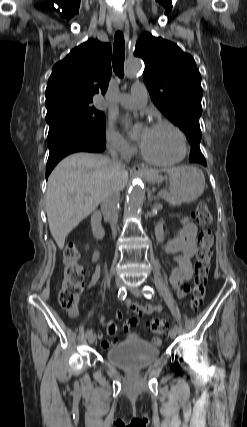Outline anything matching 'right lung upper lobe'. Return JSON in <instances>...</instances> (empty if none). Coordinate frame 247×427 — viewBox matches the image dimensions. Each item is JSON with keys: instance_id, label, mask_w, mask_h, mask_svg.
I'll list each match as a JSON object with an SVG mask.
<instances>
[{"instance_id": "right-lung-upper-lobe-1", "label": "right lung upper lobe", "mask_w": 247, "mask_h": 427, "mask_svg": "<svg viewBox=\"0 0 247 427\" xmlns=\"http://www.w3.org/2000/svg\"><path fill=\"white\" fill-rule=\"evenodd\" d=\"M111 77V47L90 39L52 69L46 88L47 114L67 106L91 105L106 92Z\"/></svg>"}]
</instances>
